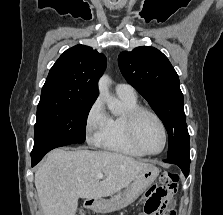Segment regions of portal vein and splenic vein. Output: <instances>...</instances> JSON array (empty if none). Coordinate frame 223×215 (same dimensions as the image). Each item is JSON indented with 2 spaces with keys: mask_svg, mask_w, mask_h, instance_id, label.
Returning a JSON list of instances; mask_svg holds the SVG:
<instances>
[{
  "mask_svg": "<svg viewBox=\"0 0 223 215\" xmlns=\"http://www.w3.org/2000/svg\"><path fill=\"white\" fill-rule=\"evenodd\" d=\"M96 177H99V179H102L104 177L103 173H97Z\"/></svg>",
  "mask_w": 223,
  "mask_h": 215,
  "instance_id": "18ae733b",
  "label": "portal vein and splenic vein"
}]
</instances>
